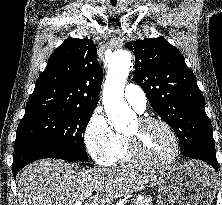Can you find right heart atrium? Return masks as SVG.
Returning <instances> with one entry per match:
<instances>
[{
  "label": "right heart atrium",
  "instance_id": "obj_1",
  "mask_svg": "<svg viewBox=\"0 0 222 205\" xmlns=\"http://www.w3.org/2000/svg\"><path fill=\"white\" fill-rule=\"evenodd\" d=\"M84 140L94 161L109 165L119 148L121 135L111 127L104 113L96 110L85 127Z\"/></svg>",
  "mask_w": 222,
  "mask_h": 205
}]
</instances>
